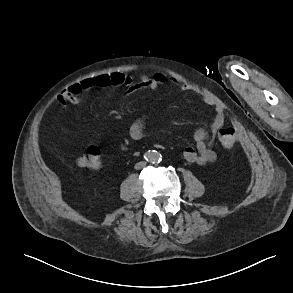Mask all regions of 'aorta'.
<instances>
[{"instance_id":"obj_1","label":"aorta","mask_w":293,"mask_h":293,"mask_svg":"<svg viewBox=\"0 0 293 293\" xmlns=\"http://www.w3.org/2000/svg\"><path fill=\"white\" fill-rule=\"evenodd\" d=\"M147 159L152 163L160 162L161 154L158 151H150L147 154Z\"/></svg>"}]
</instances>
